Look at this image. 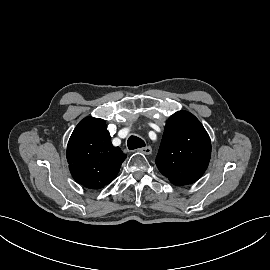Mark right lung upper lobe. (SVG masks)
Segmentation results:
<instances>
[{
	"label": "right lung upper lobe",
	"mask_w": 270,
	"mask_h": 270,
	"mask_svg": "<svg viewBox=\"0 0 270 270\" xmlns=\"http://www.w3.org/2000/svg\"><path fill=\"white\" fill-rule=\"evenodd\" d=\"M103 119L87 117L74 129L67 146V161L76 182L100 189L118 174L127 157L114 147Z\"/></svg>",
	"instance_id": "obj_1"
}]
</instances>
